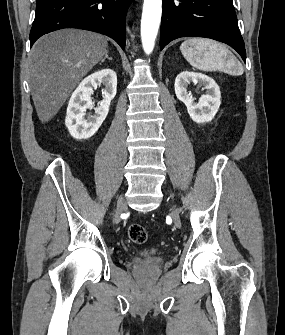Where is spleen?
Returning a JSON list of instances; mask_svg holds the SVG:
<instances>
[{
  "label": "spleen",
  "instance_id": "3e777b00",
  "mask_svg": "<svg viewBox=\"0 0 285 335\" xmlns=\"http://www.w3.org/2000/svg\"><path fill=\"white\" fill-rule=\"evenodd\" d=\"M180 52L185 60L204 72L211 70H225V68H236L238 64L239 74H243L244 70L233 54L214 40L208 38H187L180 46Z\"/></svg>",
  "mask_w": 285,
  "mask_h": 335
}]
</instances>
